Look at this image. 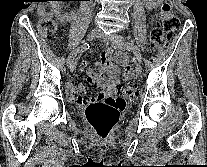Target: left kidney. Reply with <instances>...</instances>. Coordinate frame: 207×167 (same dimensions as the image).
Wrapping results in <instances>:
<instances>
[{"mask_svg": "<svg viewBox=\"0 0 207 167\" xmlns=\"http://www.w3.org/2000/svg\"><path fill=\"white\" fill-rule=\"evenodd\" d=\"M145 1V6L148 7V8H155V7H158L159 5V1L161 0H144Z\"/></svg>", "mask_w": 207, "mask_h": 167, "instance_id": "1", "label": "left kidney"}]
</instances>
